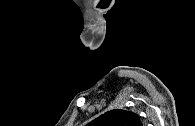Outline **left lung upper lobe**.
<instances>
[{"label": "left lung upper lobe", "mask_w": 195, "mask_h": 126, "mask_svg": "<svg viewBox=\"0 0 195 126\" xmlns=\"http://www.w3.org/2000/svg\"><path fill=\"white\" fill-rule=\"evenodd\" d=\"M87 126H142V123L136 113L114 109L91 121Z\"/></svg>", "instance_id": "obj_1"}]
</instances>
